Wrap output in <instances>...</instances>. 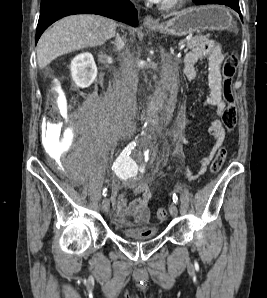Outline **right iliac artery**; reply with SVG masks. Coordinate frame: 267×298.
<instances>
[{"mask_svg":"<svg viewBox=\"0 0 267 298\" xmlns=\"http://www.w3.org/2000/svg\"><path fill=\"white\" fill-rule=\"evenodd\" d=\"M135 146H136V141H132L125 147V149L121 152V154L119 155V157L116 160L115 168H117V166L122 165L127 160H129V158H130L129 155H130L131 151L134 149ZM102 195L103 196L107 195V189L106 188L103 190Z\"/></svg>","mask_w":267,"mask_h":298,"instance_id":"82829eb1","label":"right iliac artery"}]
</instances>
